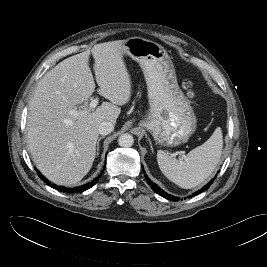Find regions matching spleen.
Listing matches in <instances>:
<instances>
[{
  "label": "spleen",
  "mask_w": 267,
  "mask_h": 267,
  "mask_svg": "<svg viewBox=\"0 0 267 267\" xmlns=\"http://www.w3.org/2000/svg\"><path fill=\"white\" fill-rule=\"evenodd\" d=\"M223 136L217 127L201 146L191 150L183 159H177L163 150L157 151V162L162 173L173 183L190 189L204 182L220 161Z\"/></svg>",
  "instance_id": "obj_1"
}]
</instances>
